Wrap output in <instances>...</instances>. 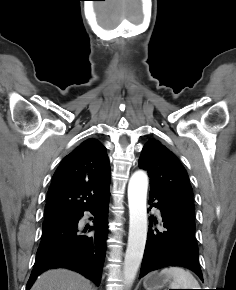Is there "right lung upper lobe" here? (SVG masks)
<instances>
[{
	"label": "right lung upper lobe",
	"mask_w": 236,
	"mask_h": 290,
	"mask_svg": "<svg viewBox=\"0 0 236 290\" xmlns=\"http://www.w3.org/2000/svg\"><path fill=\"white\" fill-rule=\"evenodd\" d=\"M106 148L88 139L60 163L54 173L45 205V219L70 217L99 203L110 186Z\"/></svg>",
	"instance_id": "cb5924a9"
}]
</instances>
